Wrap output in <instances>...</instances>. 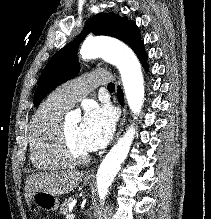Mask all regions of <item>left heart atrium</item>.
<instances>
[{
	"label": "left heart atrium",
	"mask_w": 211,
	"mask_h": 219,
	"mask_svg": "<svg viewBox=\"0 0 211 219\" xmlns=\"http://www.w3.org/2000/svg\"><path fill=\"white\" fill-rule=\"evenodd\" d=\"M115 121L109 108L96 104L86 108L80 124V141L86 151L104 147L112 137Z\"/></svg>",
	"instance_id": "1"
}]
</instances>
